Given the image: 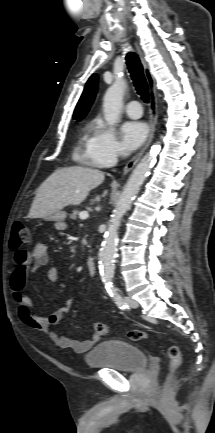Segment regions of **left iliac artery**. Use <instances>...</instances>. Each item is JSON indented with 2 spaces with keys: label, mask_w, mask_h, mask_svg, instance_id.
Returning <instances> with one entry per match:
<instances>
[{
  "label": "left iliac artery",
  "mask_w": 215,
  "mask_h": 433,
  "mask_svg": "<svg viewBox=\"0 0 215 433\" xmlns=\"http://www.w3.org/2000/svg\"><path fill=\"white\" fill-rule=\"evenodd\" d=\"M106 289L108 291V293L110 294V296L113 298L115 304L122 310H125L128 308V305L125 303V301L123 300V298L121 297V295L118 292V289L110 284L106 286Z\"/></svg>",
  "instance_id": "obj_1"
}]
</instances>
